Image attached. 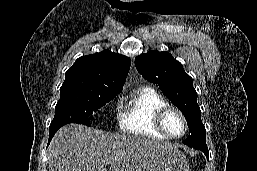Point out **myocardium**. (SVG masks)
<instances>
[{
    "mask_svg": "<svg viewBox=\"0 0 257 171\" xmlns=\"http://www.w3.org/2000/svg\"><path fill=\"white\" fill-rule=\"evenodd\" d=\"M171 111L176 112L180 116V118L183 122V126H184L183 132L178 136L171 135L167 131V129L165 127V124H164V120H165L166 115ZM154 123H155L156 129L158 131H160L162 134H164L169 139H180L186 134V132L188 130V122H187L185 114L178 107L170 105V104H167V105L163 106L162 108H160L157 111V113L155 115Z\"/></svg>",
    "mask_w": 257,
    "mask_h": 171,
    "instance_id": "f54148a6",
    "label": "myocardium"
}]
</instances>
